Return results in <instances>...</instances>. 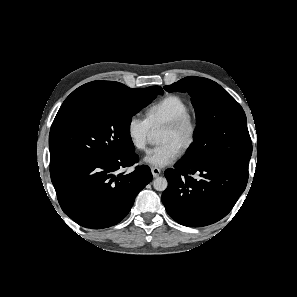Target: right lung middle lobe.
Masks as SVG:
<instances>
[{"mask_svg":"<svg viewBox=\"0 0 297 297\" xmlns=\"http://www.w3.org/2000/svg\"><path fill=\"white\" fill-rule=\"evenodd\" d=\"M113 86L104 98L58 111L49 134L51 173L77 160L134 152L131 118L163 90L159 86Z\"/></svg>","mask_w":297,"mask_h":297,"instance_id":"dd1d6c3e","label":"right lung middle lobe"}]
</instances>
